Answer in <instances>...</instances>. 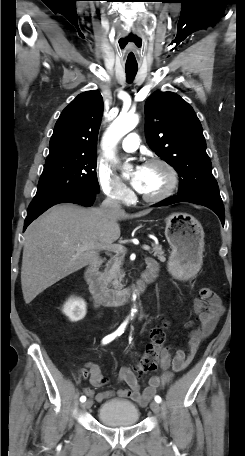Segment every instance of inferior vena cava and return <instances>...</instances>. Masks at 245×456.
<instances>
[{"label":"inferior vena cava","instance_id":"602c4592","mask_svg":"<svg viewBox=\"0 0 245 456\" xmlns=\"http://www.w3.org/2000/svg\"><path fill=\"white\" fill-rule=\"evenodd\" d=\"M102 208L104 209H113V210H118L121 208L120 204L118 201L107 197L103 202H102Z\"/></svg>","mask_w":245,"mask_h":456}]
</instances>
